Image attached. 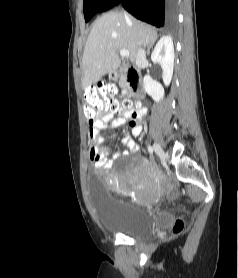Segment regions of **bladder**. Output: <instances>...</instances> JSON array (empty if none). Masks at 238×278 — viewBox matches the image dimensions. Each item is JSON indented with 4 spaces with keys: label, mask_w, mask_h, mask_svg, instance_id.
Wrapping results in <instances>:
<instances>
[{
    "label": "bladder",
    "mask_w": 238,
    "mask_h": 278,
    "mask_svg": "<svg viewBox=\"0 0 238 278\" xmlns=\"http://www.w3.org/2000/svg\"><path fill=\"white\" fill-rule=\"evenodd\" d=\"M88 180H97V175H88ZM101 181H89L94 208L101 227L110 233H119L133 239H147L171 223L168 213H151L135 204H121V200L108 196Z\"/></svg>",
    "instance_id": "1"
}]
</instances>
